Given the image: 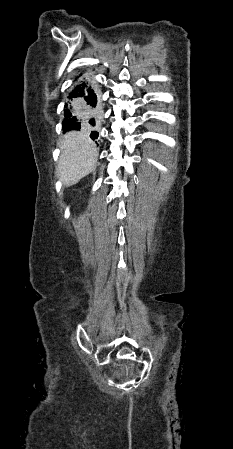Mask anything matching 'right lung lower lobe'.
Listing matches in <instances>:
<instances>
[{"label": "right lung lower lobe", "mask_w": 233, "mask_h": 449, "mask_svg": "<svg viewBox=\"0 0 233 449\" xmlns=\"http://www.w3.org/2000/svg\"><path fill=\"white\" fill-rule=\"evenodd\" d=\"M63 129L79 130L82 126H95L100 117V105L92 85L86 81L77 83L68 96ZM99 133L92 131L90 137L96 139Z\"/></svg>", "instance_id": "right-lung-lower-lobe-1"}]
</instances>
